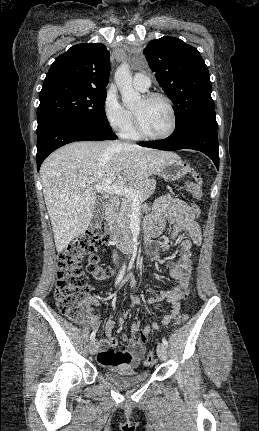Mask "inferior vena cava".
I'll use <instances>...</instances> for the list:
<instances>
[{"mask_svg":"<svg viewBox=\"0 0 259 431\" xmlns=\"http://www.w3.org/2000/svg\"><path fill=\"white\" fill-rule=\"evenodd\" d=\"M118 257V255L114 252L113 253V259L115 260Z\"/></svg>","mask_w":259,"mask_h":431,"instance_id":"inferior-vena-cava-1","label":"inferior vena cava"}]
</instances>
